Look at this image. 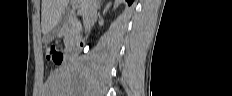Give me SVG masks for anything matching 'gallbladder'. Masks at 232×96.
I'll list each match as a JSON object with an SVG mask.
<instances>
[{
  "label": "gallbladder",
  "instance_id": "1",
  "mask_svg": "<svg viewBox=\"0 0 232 96\" xmlns=\"http://www.w3.org/2000/svg\"><path fill=\"white\" fill-rule=\"evenodd\" d=\"M69 13H70V9L65 8V10L62 13L61 19L58 21V23L53 27V29L50 32L44 35L43 37L44 43L51 42L54 38H56L60 34V32L65 26V22L69 16Z\"/></svg>",
  "mask_w": 232,
  "mask_h": 96
}]
</instances>
